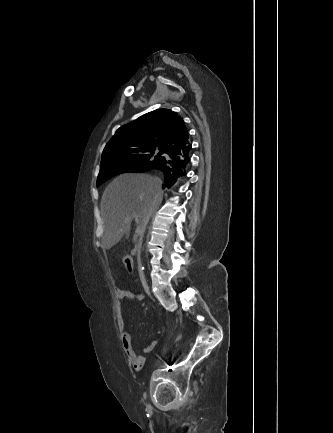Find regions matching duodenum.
<instances>
[{"instance_id": "1", "label": "duodenum", "mask_w": 333, "mask_h": 433, "mask_svg": "<svg viewBox=\"0 0 333 433\" xmlns=\"http://www.w3.org/2000/svg\"><path fill=\"white\" fill-rule=\"evenodd\" d=\"M131 250L134 252L136 249L133 247Z\"/></svg>"}]
</instances>
